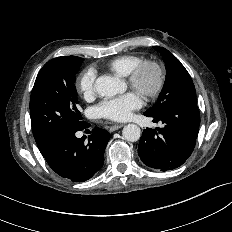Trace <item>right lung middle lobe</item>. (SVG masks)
Returning <instances> with one entry per match:
<instances>
[{
    "instance_id": "dd1d6c3e",
    "label": "right lung middle lobe",
    "mask_w": 232,
    "mask_h": 232,
    "mask_svg": "<svg viewBox=\"0 0 232 232\" xmlns=\"http://www.w3.org/2000/svg\"><path fill=\"white\" fill-rule=\"evenodd\" d=\"M82 62L83 58L77 56L57 57L49 60L37 75L30 115L32 132L43 156L61 136L85 125L74 85Z\"/></svg>"
}]
</instances>
